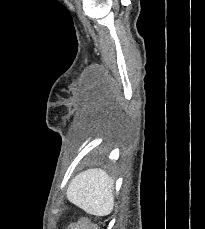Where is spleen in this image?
<instances>
[{
	"instance_id": "obj_1",
	"label": "spleen",
	"mask_w": 205,
	"mask_h": 229,
	"mask_svg": "<svg viewBox=\"0 0 205 229\" xmlns=\"http://www.w3.org/2000/svg\"><path fill=\"white\" fill-rule=\"evenodd\" d=\"M114 181L102 169H88L75 176L67 190L70 202L89 214L106 216L114 208Z\"/></svg>"
}]
</instances>
